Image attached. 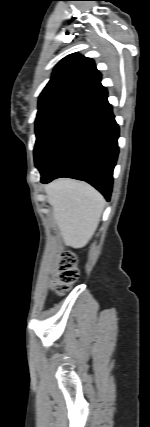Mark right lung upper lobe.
<instances>
[{"instance_id":"1","label":"right lung upper lobe","mask_w":150,"mask_h":427,"mask_svg":"<svg viewBox=\"0 0 150 427\" xmlns=\"http://www.w3.org/2000/svg\"><path fill=\"white\" fill-rule=\"evenodd\" d=\"M94 61L77 53L63 58L39 97L38 109L71 107L83 109L105 94Z\"/></svg>"}]
</instances>
